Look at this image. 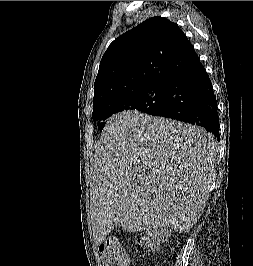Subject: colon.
<instances>
[{"mask_svg":"<svg viewBox=\"0 0 253 266\" xmlns=\"http://www.w3.org/2000/svg\"><path fill=\"white\" fill-rule=\"evenodd\" d=\"M101 260L105 266H127L129 258L119 241L115 238H108L99 245Z\"/></svg>","mask_w":253,"mask_h":266,"instance_id":"colon-1","label":"colon"}]
</instances>
